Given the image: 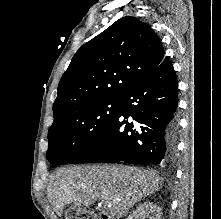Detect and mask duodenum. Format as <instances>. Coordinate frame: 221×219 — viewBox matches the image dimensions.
Listing matches in <instances>:
<instances>
[{"mask_svg":"<svg viewBox=\"0 0 221 219\" xmlns=\"http://www.w3.org/2000/svg\"><path fill=\"white\" fill-rule=\"evenodd\" d=\"M99 219H113V218L109 214H107L105 212H101V213H99Z\"/></svg>","mask_w":221,"mask_h":219,"instance_id":"duodenum-1","label":"duodenum"}]
</instances>
